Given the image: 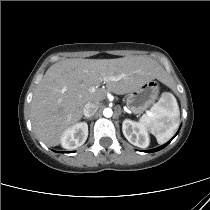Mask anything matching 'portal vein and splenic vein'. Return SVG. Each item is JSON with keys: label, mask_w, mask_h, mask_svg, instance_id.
Masks as SVG:
<instances>
[{"label": "portal vein and splenic vein", "mask_w": 210, "mask_h": 210, "mask_svg": "<svg viewBox=\"0 0 210 210\" xmlns=\"http://www.w3.org/2000/svg\"><path fill=\"white\" fill-rule=\"evenodd\" d=\"M108 80H115V78H113V77H110V78H108Z\"/></svg>", "instance_id": "18ae733b"}]
</instances>
